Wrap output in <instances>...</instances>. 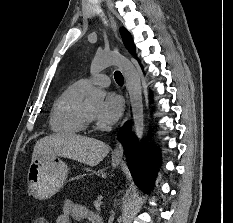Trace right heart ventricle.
Segmentation results:
<instances>
[{"instance_id": "right-heart-ventricle-1", "label": "right heart ventricle", "mask_w": 233, "mask_h": 223, "mask_svg": "<svg viewBox=\"0 0 233 223\" xmlns=\"http://www.w3.org/2000/svg\"><path fill=\"white\" fill-rule=\"evenodd\" d=\"M80 81L69 84L55 100L49 116L50 129L59 135H77L85 130L84 92Z\"/></svg>"}]
</instances>
